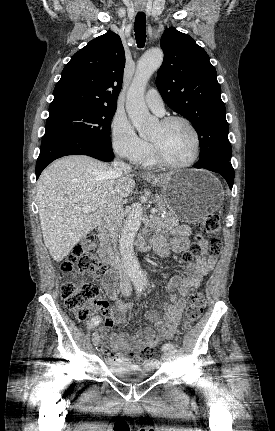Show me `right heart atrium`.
Wrapping results in <instances>:
<instances>
[{
  "label": "right heart atrium",
  "mask_w": 275,
  "mask_h": 431,
  "mask_svg": "<svg viewBox=\"0 0 275 431\" xmlns=\"http://www.w3.org/2000/svg\"><path fill=\"white\" fill-rule=\"evenodd\" d=\"M111 142L119 156L133 163L140 162L150 150V146L137 135L127 117L120 113L111 122Z\"/></svg>",
  "instance_id": "1"
}]
</instances>
